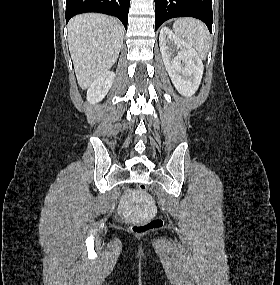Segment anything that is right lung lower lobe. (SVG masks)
I'll return each instance as SVG.
<instances>
[{"instance_id": "right-lung-lower-lobe-1", "label": "right lung lower lobe", "mask_w": 280, "mask_h": 285, "mask_svg": "<svg viewBox=\"0 0 280 285\" xmlns=\"http://www.w3.org/2000/svg\"><path fill=\"white\" fill-rule=\"evenodd\" d=\"M130 0H66V23L76 14L100 12L118 17L127 29Z\"/></svg>"}]
</instances>
